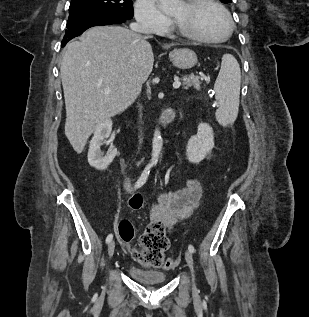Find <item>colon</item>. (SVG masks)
Masks as SVG:
<instances>
[{"instance_id":"colon-1","label":"colon","mask_w":309,"mask_h":317,"mask_svg":"<svg viewBox=\"0 0 309 317\" xmlns=\"http://www.w3.org/2000/svg\"><path fill=\"white\" fill-rule=\"evenodd\" d=\"M128 204L131 209L139 210L143 205V197L134 194L129 198ZM117 236L127 248H131V243L135 236V230L131 222L121 220L116 228ZM169 248V240L165 233L164 225L159 221L150 222L140 237V246L132 250L133 257L149 267H172L176 263L174 259H165L164 253Z\"/></svg>"}]
</instances>
